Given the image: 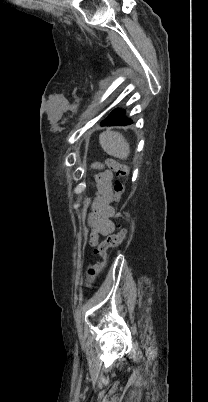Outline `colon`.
Returning <instances> with one entry per match:
<instances>
[{
    "label": "colon",
    "instance_id": "5ec220e1",
    "mask_svg": "<svg viewBox=\"0 0 208 402\" xmlns=\"http://www.w3.org/2000/svg\"><path fill=\"white\" fill-rule=\"evenodd\" d=\"M108 169L114 172L118 178V181L114 184V191L116 194V200H121L126 191V182L129 176V166L126 163L119 162L115 159H108L106 161ZM128 237L127 227H121L117 233L108 235L98 246L97 253L101 260L96 263H92L88 267L87 282L92 283L94 278L102 271L105 270L108 249L118 247Z\"/></svg>",
    "mask_w": 208,
    "mask_h": 402
}]
</instances>
